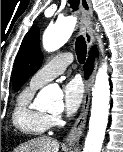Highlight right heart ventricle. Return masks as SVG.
<instances>
[{"instance_id": "1", "label": "right heart ventricle", "mask_w": 123, "mask_h": 152, "mask_svg": "<svg viewBox=\"0 0 123 152\" xmlns=\"http://www.w3.org/2000/svg\"><path fill=\"white\" fill-rule=\"evenodd\" d=\"M37 88L26 87L18 96L12 122L21 132L31 136H42L50 128V115L32 107L31 101Z\"/></svg>"}]
</instances>
